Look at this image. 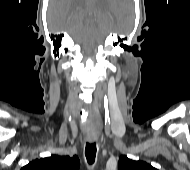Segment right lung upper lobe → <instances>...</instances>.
<instances>
[{"label":"right lung upper lobe","mask_w":190,"mask_h":170,"mask_svg":"<svg viewBox=\"0 0 190 170\" xmlns=\"http://www.w3.org/2000/svg\"><path fill=\"white\" fill-rule=\"evenodd\" d=\"M79 166L80 161L76 155L73 157L52 155L33 160L21 170H78Z\"/></svg>","instance_id":"obj_1"}]
</instances>
